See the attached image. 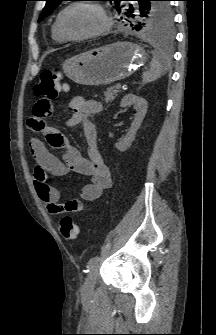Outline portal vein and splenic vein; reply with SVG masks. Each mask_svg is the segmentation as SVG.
<instances>
[{"label": "portal vein and splenic vein", "mask_w": 216, "mask_h": 335, "mask_svg": "<svg viewBox=\"0 0 216 335\" xmlns=\"http://www.w3.org/2000/svg\"><path fill=\"white\" fill-rule=\"evenodd\" d=\"M115 88H116V90L121 89V83H117V84L115 85Z\"/></svg>", "instance_id": "obj_1"}]
</instances>
